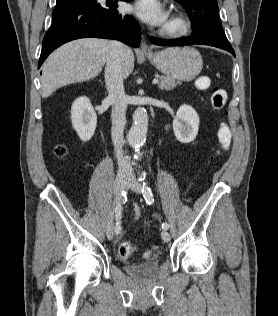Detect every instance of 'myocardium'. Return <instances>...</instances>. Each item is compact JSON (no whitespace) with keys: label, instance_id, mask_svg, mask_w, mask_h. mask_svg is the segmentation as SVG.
I'll return each mask as SVG.
<instances>
[{"label":"myocardium","instance_id":"1","mask_svg":"<svg viewBox=\"0 0 278 316\" xmlns=\"http://www.w3.org/2000/svg\"><path fill=\"white\" fill-rule=\"evenodd\" d=\"M189 20L180 12H173L160 30L163 36L177 38L186 35L190 30Z\"/></svg>","mask_w":278,"mask_h":316}]
</instances>
